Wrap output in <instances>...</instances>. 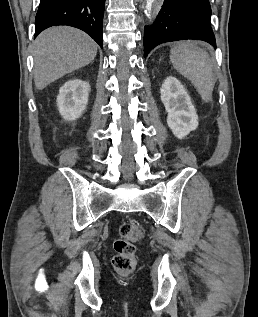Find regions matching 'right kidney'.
<instances>
[{"instance_id": "right-kidney-1", "label": "right kidney", "mask_w": 258, "mask_h": 317, "mask_svg": "<svg viewBox=\"0 0 258 317\" xmlns=\"http://www.w3.org/2000/svg\"><path fill=\"white\" fill-rule=\"evenodd\" d=\"M90 84L86 80H67L59 90L57 106L65 120H76L81 116L88 102Z\"/></svg>"}]
</instances>
